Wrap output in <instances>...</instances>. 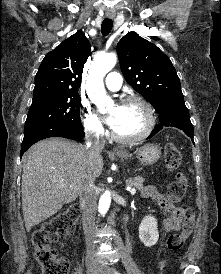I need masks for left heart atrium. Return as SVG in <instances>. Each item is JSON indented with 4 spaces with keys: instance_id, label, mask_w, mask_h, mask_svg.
Listing matches in <instances>:
<instances>
[{
    "instance_id": "left-heart-atrium-1",
    "label": "left heart atrium",
    "mask_w": 221,
    "mask_h": 274,
    "mask_svg": "<svg viewBox=\"0 0 221 274\" xmlns=\"http://www.w3.org/2000/svg\"><path fill=\"white\" fill-rule=\"evenodd\" d=\"M106 121L113 128L116 123V116L114 114H110L107 117Z\"/></svg>"
}]
</instances>
